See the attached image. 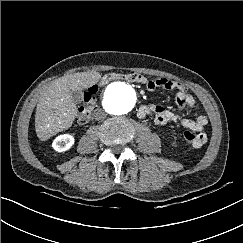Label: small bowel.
Returning <instances> with one entry per match:
<instances>
[{
	"label": "small bowel",
	"mask_w": 243,
	"mask_h": 243,
	"mask_svg": "<svg viewBox=\"0 0 243 243\" xmlns=\"http://www.w3.org/2000/svg\"><path fill=\"white\" fill-rule=\"evenodd\" d=\"M146 87L150 91H153L156 88H162L166 90L176 89L177 93L175 97V103L179 109L185 106H188L193 110L197 109V103L195 99L186 91L185 87L181 84H178L166 78H160L149 82L146 81ZM138 115L140 118L151 117L156 125H164L168 122L178 120L177 113L156 105L142 106L138 111ZM207 123V117L203 114L197 115L195 120L183 119L181 121L183 127L192 132H196L197 140L196 142L192 143L193 147L200 148L206 143L207 135L204 132V128Z\"/></svg>",
	"instance_id": "c3829d8e"
}]
</instances>
